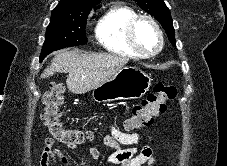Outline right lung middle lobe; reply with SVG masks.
<instances>
[{"label": "right lung middle lobe", "instance_id": "dd1d6c3e", "mask_svg": "<svg viewBox=\"0 0 227 166\" xmlns=\"http://www.w3.org/2000/svg\"><path fill=\"white\" fill-rule=\"evenodd\" d=\"M90 10L52 13L40 60L55 50L86 44L85 26Z\"/></svg>", "mask_w": 227, "mask_h": 166}]
</instances>
